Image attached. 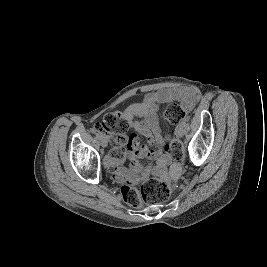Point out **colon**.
Here are the masks:
<instances>
[{"instance_id":"obj_1","label":"colon","mask_w":267,"mask_h":267,"mask_svg":"<svg viewBox=\"0 0 267 267\" xmlns=\"http://www.w3.org/2000/svg\"><path fill=\"white\" fill-rule=\"evenodd\" d=\"M190 107L184 104L172 103L163 112V120L167 125H176L186 119ZM101 127L104 131L114 136L115 147L110 153L112 161H120L126 152V147L130 148L132 140L127 136L129 130L128 121L118 112H111L104 116ZM165 151L175 161L183 158V145L179 139L165 136ZM121 193L124 200L131 206H137L141 200L146 202L164 203L169 200L172 193L171 183L165 178H154L148 180L141 191L129 184H123Z\"/></svg>"}]
</instances>
